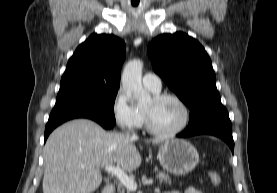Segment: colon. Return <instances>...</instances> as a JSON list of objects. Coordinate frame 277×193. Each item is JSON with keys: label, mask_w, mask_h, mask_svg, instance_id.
I'll list each match as a JSON object with an SVG mask.
<instances>
[{"label": "colon", "mask_w": 277, "mask_h": 193, "mask_svg": "<svg viewBox=\"0 0 277 193\" xmlns=\"http://www.w3.org/2000/svg\"><path fill=\"white\" fill-rule=\"evenodd\" d=\"M208 177L212 185L220 186L222 184V177L217 171H210Z\"/></svg>", "instance_id": "5ec220e1"}]
</instances>
